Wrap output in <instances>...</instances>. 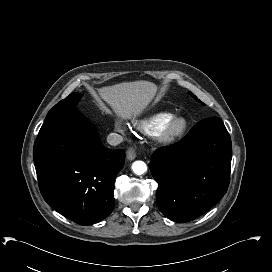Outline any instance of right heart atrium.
<instances>
[{
    "mask_svg": "<svg viewBox=\"0 0 272 272\" xmlns=\"http://www.w3.org/2000/svg\"><path fill=\"white\" fill-rule=\"evenodd\" d=\"M115 129L119 132H124L125 127L123 126V124L120 121H116L115 122Z\"/></svg>",
    "mask_w": 272,
    "mask_h": 272,
    "instance_id": "1",
    "label": "right heart atrium"
}]
</instances>
